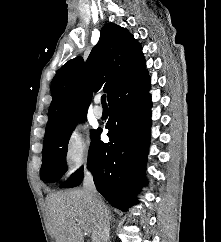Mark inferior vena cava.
<instances>
[{"mask_svg":"<svg viewBox=\"0 0 221 242\" xmlns=\"http://www.w3.org/2000/svg\"><path fill=\"white\" fill-rule=\"evenodd\" d=\"M83 189L87 195V198L93 208L95 215V231L94 242H108L110 231V216L107 206L99 196L93 176L89 171L85 172L83 180Z\"/></svg>","mask_w":221,"mask_h":242,"instance_id":"inferior-vena-cava-1","label":"inferior vena cava"}]
</instances>
